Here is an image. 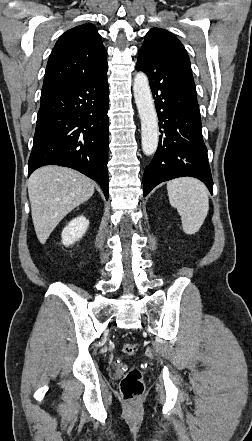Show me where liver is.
<instances>
[{
  "mask_svg": "<svg viewBox=\"0 0 252 441\" xmlns=\"http://www.w3.org/2000/svg\"><path fill=\"white\" fill-rule=\"evenodd\" d=\"M31 215L37 238L44 244L58 223L94 194L85 175L67 167L44 166L28 180Z\"/></svg>",
  "mask_w": 252,
  "mask_h": 441,
  "instance_id": "obj_1",
  "label": "liver"
}]
</instances>
